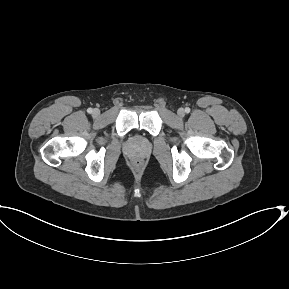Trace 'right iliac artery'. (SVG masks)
I'll return each instance as SVG.
<instances>
[{
    "instance_id": "right-iliac-artery-1",
    "label": "right iliac artery",
    "mask_w": 289,
    "mask_h": 289,
    "mask_svg": "<svg viewBox=\"0 0 289 289\" xmlns=\"http://www.w3.org/2000/svg\"><path fill=\"white\" fill-rule=\"evenodd\" d=\"M87 112H88V113H92V112H93V109H92V108H88V109H87Z\"/></svg>"
}]
</instances>
